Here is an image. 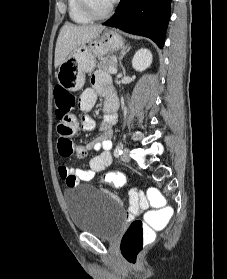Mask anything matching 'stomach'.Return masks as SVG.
<instances>
[{"label": "stomach", "instance_id": "stomach-1", "mask_svg": "<svg viewBox=\"0 0 227 279\" xmlns=\"http://www.w3.org/2000/svg\"><path fill=\"white\" fill-rule=\"evenodd\" d=\"M124 46V39L116 31L105 30L86 44L76 47L59 66L58 84L68 91H78L85 84V74L94 70L96 58H103Z\"/></svg>", "mask_w": 227, "mask_h": 279}]
</instances>
